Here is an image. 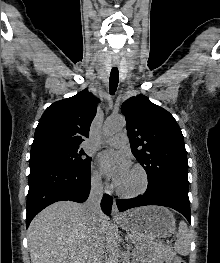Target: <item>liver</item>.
<instances>
[{
  "mask_svg": "<svg viewBox=\"0 0 220 263\" xmlns=\"http://www.w3.org/2000/svg\"><path fill=\"white\" fill-rule=\"evenodd\" d=\"M96 225L105 234L109 218L102 214ZM91 236L84 204L56 202L42 210L28 228L31 263H87Z\"/></svg>",
  "mask_w": 220,
  "mask_h": 263,
  "instance_id": "liver-1",
  "label": "liver"
}]
</instances>
